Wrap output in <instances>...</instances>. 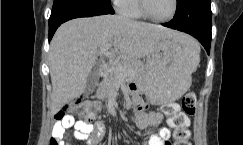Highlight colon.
<instances>
[{"instance_id": "obj_1", "label": "colon", "mask_w": 243, "mask_h": 145, "mask_svg": "<svg viewBox=\"0 0 243 145\" xmlns=\"http://www.w3.org/2000/svg\"><path fill=\"white\" fill-rule=\"evenodd\" d=\"M180 111L176 103H167L162 107V112L168 117V125L173 129V142H168V145H191L189 116H192L196 110V98L193 93H188L181 101ZM77 115L80 117L88 116L86 107L81 98H78L64 107H62L55 115V118L60 121L68 116ZM61 141L52 136L49 145H60Z\"/></svg>"}]
</instances>
